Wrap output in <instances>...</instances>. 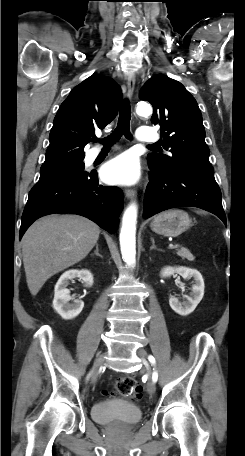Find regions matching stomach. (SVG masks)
I'll return each instance as SVG.
<instances>
[{
    "instance_id": "0dacf381",
    "label": "stomach",
    "mask_w": 245,
    "mask_h": 456,
    "mask_svg": "<svg viewBox=\"0 0 245 456\" xmlns=\"http://www.w3.org/2000/svg\"><path fill=\"white\" fill-rule=\"evenodd\" d=\"M191 226V219L187 212L172 209L158 214L150 224L151 230L157 234L176 237Z\"/></svg>"
}]
</instances>
